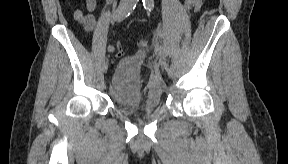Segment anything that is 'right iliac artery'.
Instances as JSON below:
<instances>
[{
    "label": "right iliac artery",
    "mask_w": 288,
    "mask_h": 164,
    "mask_svg": "<svg viewBox=\"0 0 288 164\" xmlns=\"http://www.w3.org/2000/svg\"><path fill=\"white\" fill-rule=\"evenodd\" d=\"M127 15H129V14H127L124 7H119L116 11V14H115V20L117 22H121L123 19H125L127 17ZM114 50H115V48L113 45L108 46V52L113 53Z\"/></svg>",
    "instance_id": "right-iliac-artery-1"
}]
</instances>
